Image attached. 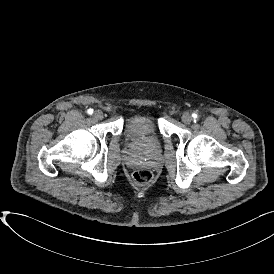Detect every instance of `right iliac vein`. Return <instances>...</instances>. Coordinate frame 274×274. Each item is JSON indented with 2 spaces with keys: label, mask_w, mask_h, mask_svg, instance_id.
Returning <instances> with one entry per match:
<instances>
[{
  "label": "right iliac vein",
  "mask_w": 274,
  "mask_h": 274,
  "mask_svg": "<svg viewBox=\"0 0 274 274\" xmlns=\"http://www.w3.org/2000/svg\"><path fill=\"white\" fill-rule=\"evenodd\" d=\"M94 118L97 120L103 119V112L101 110H96L93 114Z\"/></svg>",
  "instance_id": "1"
}]
</instances>
